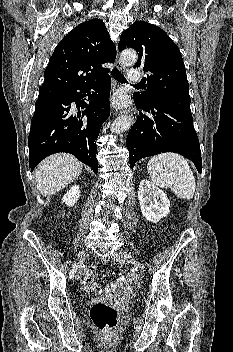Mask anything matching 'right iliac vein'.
Masks as SVG:
<instances>
[{"label": "right iliac vein", "mask_w": 233, "mask_h": 352, "mask_svg": "<svg viewBox=\"0 0 233 352\" xmlns=\"http://www.w3.org/2000/svg\"><path fill=\"white\" fill-rule=\"evenodd\" d=\"M87 255H88L87 250L80 251L77 257L78 261L82 263L86 259ZM75 277L78 280L80 278V272H78Z\"/></svg>", "instance_id": "obj_1"}]
</instances>
